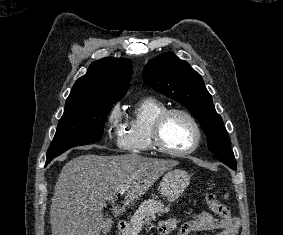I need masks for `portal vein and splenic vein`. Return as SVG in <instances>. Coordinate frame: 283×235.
Listing matches in <instances>:
<instances>
[{"label":"portal vein and splenic vein","instance_id":"portal-vein-and-splenic-vein-1","mask_svg":"<svg viewBox=\"0 0 283 235\" xmlns=\"http://www.w3.org/2000/svg\"><path fill=\"white\" fill-rule=\"evenodd\" d=\"M128 190V187L126 185H121L118 190L116 191L117 194H124ZM117 197V195H114Z\"/></svg>","mask_w":283,"mask_h":235}]
</instances>
